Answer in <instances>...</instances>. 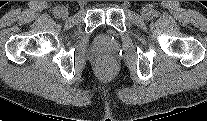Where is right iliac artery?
<instances>
[{
    "label": "right iliac artery",
    "instance_id": "obj_1",
    "mask_svg": "<svg viewBox=\"0 0 207 121\" xmlns=\"http://www.w3.org/2000/svg\"><path fill=\"white\" fill-rule=\"evenodd\" d=\"M54 14L57 15V16H59V14H60V8L56 7L54 9Z\"/></svg>",
    "mask_w": 207,
    "mask_h": 121
}]
</instances>
